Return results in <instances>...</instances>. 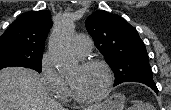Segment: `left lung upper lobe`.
Listing matches in <instances>:
<instances>
[{
	"label": "left lung upper lobe",
	"mask_w": 171,
	"mask_h": 110,
	"mask_svg": "<svg viewBox=\"0 0 171 110\" xmlns=\"http://www.w3.org/2000/svg\"><path fill=\"white\" fill-rule=\"evenodd\" d=\"M85 25L115 73L114 86L127 81L154 82L145 44L126 20L99 10L86 19Z\"/></svg>",
	"instance_id": "5c2ea615"
}]
</instances>
